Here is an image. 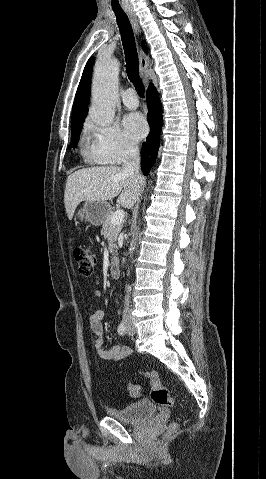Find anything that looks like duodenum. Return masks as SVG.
<instances>
[{"label": "duodenum", "instance_id": "1", "mask_svg": "<svg viewBox=\"0 0 266 479\" xmlns=\"http://www.w3.org/2000/svg\"><path fill=\"white\" fill-rule=\"evenodd\" d=\"M110 273L113 278L120 276V260L117 257L112 258L110 262Z\"/></svg>", "mask_w": 266, "mask_h": 479}]
</instances>
